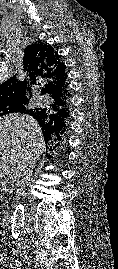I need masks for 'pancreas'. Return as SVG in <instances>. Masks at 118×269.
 <instances>
[{
    "label": "pancreas",
    "mask_w": 118,
    "mask_h": 269,
    "mask_svg": "<svg viewBox=\"0 0 118 269\" xmlns=\"http://www.w3.org/2000/svg\"><path fill=\"white\" fill-rule=\"evenodd\" d=\"M11 190H13V184H10L6 178L0 179V191L9 192Z\"/></svg>",
    "instance_id": "pancreas-1"
}]
</instances>
